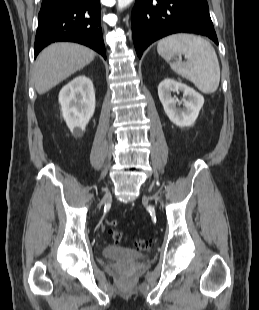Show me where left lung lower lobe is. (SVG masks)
I'll list each match as a JSON object with an SVG mask.
<instances>
[{"label": "left lung lower lobe", "mask_w": 259, "mask_h": 310, "mask_svg": "<svg viewBox=\"0 0 259 310\" xmlns=\"http://www.w3.org/2000/svg\"><path fill=\"white\" fill-rule=\"evenodd\" d=\"M131 22L139 58L154 41L178 32L204 35L218 45L207 0H136Z\"/></svg>", "instance_id": "0a47b994"}]
</instances>
